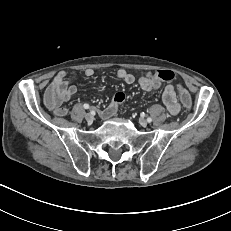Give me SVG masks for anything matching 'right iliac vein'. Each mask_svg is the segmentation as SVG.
<instances>
[{
	"instance_id": "obj_1",
	"label": "right iliac vein",
	"mask_w": 231,
	"mask_h": 231,
	"mask_svg": "<svg viewBox=\"0 0 231 231\" xmlns=\"http://www.w3.org/2000/svg\"><path fill=\"white\" fill-rule=\"evenodd\" d=\"M85 119L88 121V122H93L94 120V117L91 113H86L85 114Z\"/></svg>"
}]
</instances>
